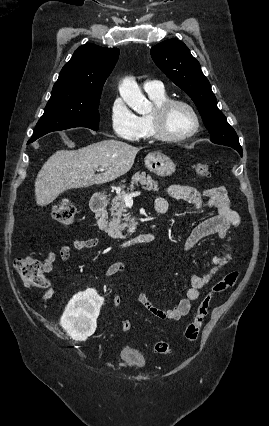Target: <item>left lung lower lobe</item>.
I'll return each instance as SVG.
<instances>
[{"label":"left lung lower lobe","mask_w":269,"mask_h":426,"mask_svg":"<svg viewBox=\"0 0 269 426\" xmlns=\"http://www.w3.org/2000/svg\"><path fill=\"white\" fill-rule=\"evenodd\" d=\"M234 148L241 156H242V148L240 147H232Z\"/></svg>","instance_id":"obj_1"}]
</instances>
